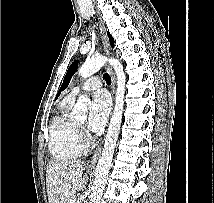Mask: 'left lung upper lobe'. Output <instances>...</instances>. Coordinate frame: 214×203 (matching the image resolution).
Segmentation results:
<instances>
[{"instance_id":"5c2ea615","label":"left lung upper lobe","mask_w":214,"mask_h":203,"mask_svg":"<svg viewBox=\"0 0 214 203\" xmlns=\"http://www.w3.org/2000/svg\"><path fill=\"white\" fill-rule=\"evenodd\" d=\"M107 34H108V37H109V41H110L111 47H114V39H113V37L110 35L109 32ZM76 70H77V62H73L70 65V67H69V69H68V71H67V73L65 75V78L63 80V83L61 85L60 90L58 91V93L56 95L55 100L58 98V96L60 95L61 91H63L64 89L67 88V86H68L73 74L76 72Z\"/></svg>"}]
</instances>
